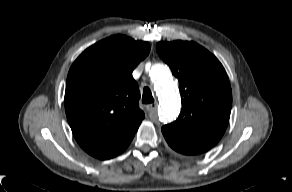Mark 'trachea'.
I'll list each match as a JSON object with an SVG mask.
<instances>
[{
    "instance_id": "obj_1",
    "label": "trachea",
    "mask_w": 292,
    "mask_h": 192,
    "mask_svg": "<svg viewBox=\"0 0 292 192\" xmlns=\"http://www.w3.org/2000/svg\"><path fill=\"white\" fill-rule=\"evenodd\" d=\"M142 102H143L144 104H149V103L154 102V99H153V96H152L151 90H150V88H148V87H145V88L143 89Z\"/></svg>"
}]
</instances>
